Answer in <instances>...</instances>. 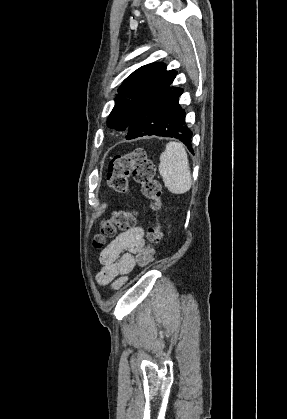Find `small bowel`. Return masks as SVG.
Listing matches in <instances>:
<instances>
[{
	"label": "small bowel",
	"instance_id": "c3829d8e",
	"mask_svg": "<svg viewBox=\"0 0 287 419\" xmlns=\"http://www.w3.org/2000/svg\"><path fill=\"white\" fill-rule=\"evenodd\" d=\"M144 244V229L140 226L117 235L100 253L102 268L96 276L97 282L101 285L111 283L113 289L122 287L135 266L133 254Z\"/></svg>",
	"mask_w": 287,
	"mask_h": 419
}]
</instances>
